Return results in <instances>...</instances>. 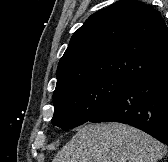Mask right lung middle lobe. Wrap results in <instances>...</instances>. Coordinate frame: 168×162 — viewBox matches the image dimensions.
I'll list each match as a JSON object with an SVG mask.
<instances>
[{
	"instance_id": "obj_1",
	"label": "right lung middle lobe",
	"mask_w": 168,
	"mask_h": 162,
	"mask_svg": "<svg viewBox=\"0 0 168 162\" xmlns=\"http://www.w3.org/2000/svg\"><path fill=\"white\" fill-rule=\"evenodd\" d=\"M132 80L105 75L54 92L52 124L68 130L90 121Z\"/></svg>"
}]
</instances>
